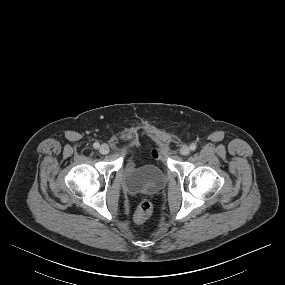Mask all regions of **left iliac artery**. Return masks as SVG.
<instances>
[{"mask_svg": "<svg viewBox=\"0 0 285 285\" xmlns=\"http://www.w3.org/2000/svg\"><path fill=\"white\" fill-rule=\"evenodd\" d=\"M196 148H197V146H196L195 144H191V145H190V149H191L192 151L196 150Z\"/></svg>", "mask_w": 285, "mask_h": 285, "instance_id": "44dca946", "label": "left iliac artery"}]
</instances>
